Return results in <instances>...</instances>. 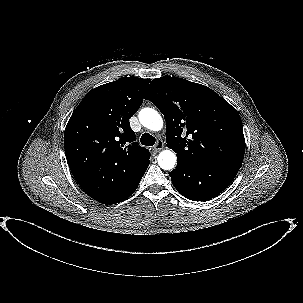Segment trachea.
Listing matches in <instances>:
<instances>
[{
	"label": "trachea",
	"mask_w": 303,
	"mask_h": 303,
	"mask_svg": "<svg viewBox=\"0 0 303 303\" xmlns=\"http://www.w3.org/2000/svg\"><path fill=\"white\" fill-rule=\"evenodd\" d=\"M140 142L142 145H145V146H153L156 142V139L149 133H144L141 136Z\"/></svg>",
	"instance_id": "obj_1"
}]
</instances>
